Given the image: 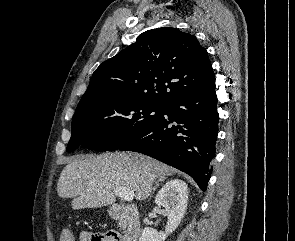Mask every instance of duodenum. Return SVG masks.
I'll return each instance as SVG.
<instances>
[{
  "instance_id": "1",
  "label": "duodenum",
  "mask_w": 295,
  "mask_h": 241,
  "mask_svg": "<svg viewBox=\"0 0 295 241\" xmlns=\"http://www.w3.org/2000/svg\"><path fill=\"white\" fill-rule=\"evenodd\" d=\"M109 212L114 219L124 220V241H138L141 232L140 215L135 206L113 204Z\"/></svg>"
}]
</instances>
